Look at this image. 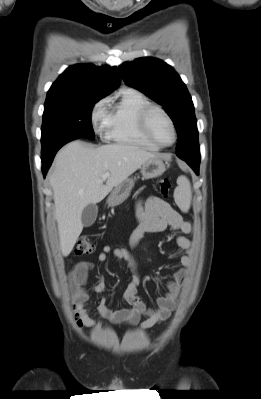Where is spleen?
<instances>
[{
  "label": "spleen",
  "instance_id": "spleen-1",
  "mask_svg": "<svg viewBox=\"0 0 261 399\" xmlns=\"http://www.w3.org/2000/svg\"><path fill=\"white\" fill-rule=\"evenodd\" d=\"M178 186L174 191V199L178 207L183 212H188L191 206L192 192L191 185L187 177L180 176L177 179Z\"/></svg>",
  "mask_w": 261,
  "mask_h": 399
}]
</instances>
